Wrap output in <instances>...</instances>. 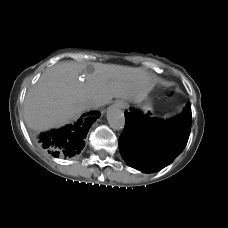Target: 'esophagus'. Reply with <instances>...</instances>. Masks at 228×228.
I'll return each instance as SVG.
<instances>
[{
    "label": "esophagus",
    "instance_id": "esophagus-1",
    "mask_svg": "<svg viewBox=\"0 0 228 228\" xmlns=\"http://www.w3.org/2000/svg\"><path fill=\"white\" fill-rule=\"evenodd\" d=\"M115 106L119 107V108H122L124 109L125 108V105L122 101H116L115 102Z\"/></svg>",
    "mask_w": 228,
    "mask_h": 228
}]
</instances>
